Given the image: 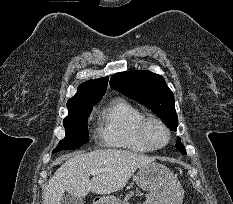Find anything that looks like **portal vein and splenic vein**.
<instances>
[{
  "instance_id": "portal-vein-and-splenic-vein-1",
  "label": "portal vein and splenic vein",
  "mask_w": 233,
  "mask_h": 204,
  "mask_svg": "<svg viewBox=\"0 0 233 204\" xmlns=\"http://www.w3.org/2000/svg\"><path fill=\"white\" fill-rule=\"evenodd\" d=\"M105 171H106V169H92V170L90 171V174H91V175H98V174L103 173V172H105Z\"/></svg>"
}]
</instances>
